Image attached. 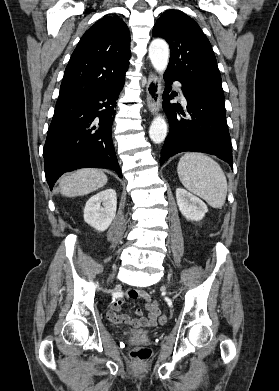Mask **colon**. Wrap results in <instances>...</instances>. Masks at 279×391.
<instances>
[{
	"instance_id": "1",
	"label": "colon",
	"mask_w": 279,
	"mask_h": 391,
	"mask_svg": "<svg viewBox=\"0 0 279 391\" xmlns=\"http://www.w3.org/2000/svg\"><path fill=\"white\" fill-rule=\"evenodd\" d=\"M167 321V317L162 315L160 317V322L162 324L166 323ZM131 356L138 360V361H145L147 360L150 356H151V350L149 348H138V349H135L131 352Z\"/></svg>"
}]
</instances>
